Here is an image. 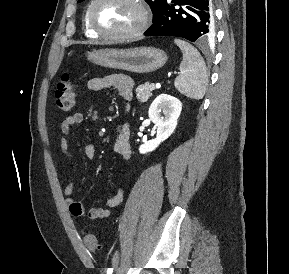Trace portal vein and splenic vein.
<instances>
[{"label": "portal vein and splenic vein", "instance_id": "1", "mask_svg": "<svg viewBox=\"0 0 289 274\" xmlns=\"http://www.w3.org/2000/svg\"><path fill=\"white\" fill-rule=\"evenodd\" d=\"M151 89L154 90L155 89V83L151 84Z\"/></svg>", "mask_w": 289, "mask_h": 274}]
</instances>
